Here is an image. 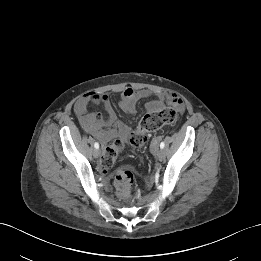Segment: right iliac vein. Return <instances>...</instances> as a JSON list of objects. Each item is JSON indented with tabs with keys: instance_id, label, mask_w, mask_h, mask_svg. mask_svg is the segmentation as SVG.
Segmentation results:
<instances>
[{
	"instance_id": "63e3f726",
	"label": "right iliac vein",
	"mask_w": 261,
	"mask_h": 261,
	"mask_svg": "<svg viewBox=\"0 0 261 261\" xmlns=\"http://www.w3.org/2000/svg\"><path fill=\"white\" fill-rule=\"evenodd\" d=\"M101 152L99 149H95L94 152H93V155L95 158H98L100 156Z\"/></svg>"
}]
</instances>
